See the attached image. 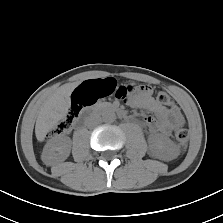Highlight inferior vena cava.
<instances>
[{
    "instance_id": "inferior-vena-cava-1",
    "label": "inferior vena cava",
    "mask_w": 223,
    "mask_h": 223,
    "mask_svg": "<svg viewBox=\"0 0 223 223\" xmlns=\"http://www.w3.org/2000/svg\"><path fill=\"white\" fill-rule=\"evenodd\" d=\"M100 121H101V117H99L98 115H94V116L89 118L88 127L95 126V125L99 124Z\"/></svg>"
}]
</instances>
